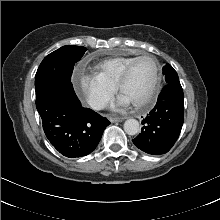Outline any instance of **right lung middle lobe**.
<instances>
[{"label": "right lung middle lobe", "instance_id": "dd1d6c3e", "mask_svg": "<svg viewBox=\"0 0 220 220\" xmlns=\"http://www.w3.org/2000/svg\"><path fill=\"white\" fill-rule=\"evenodd\" d=\"M86 50L82 46L67 45L47 55L35 75L36 96L56 85L72 86L70 81L74 64Z\"/></svg>", "mask_w": 220, "mask_h": 220}]
</instances>
